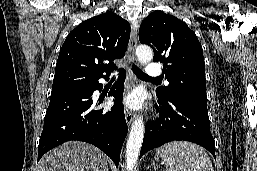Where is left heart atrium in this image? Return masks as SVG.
I'll return each instance as SVG.
<instances>
[{
	"mask_svg": "<svg viewBox=\"0 0 257 171\" xmlns=\"http://www.w3.org/2000/svg\"><path fill=\"white\" fill-rule=\"evenodd\" d=\"M124 104L130 109H138L143 104V95L139 90L129 93L124 98Z\"/></svg>",
	"mask_w": 257,
	"mask_h": 171,
	"instance_id": "1",
	"label": "left heart atrium"
}]
</instances>
